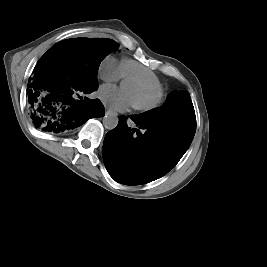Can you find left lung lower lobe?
<instances>
[{"mask_svg": "<svg viewBox=\"0 0 267 267\" xmlns=\"http://www.w3.org/2000/svg\"><path fill=\"white\" fill-rule=\"evenodd\" d=\"M130 118L138 129L131 130L120 116L118 125L105 136L103 160L115 181L138 185L169 172L190 146L194 133L173 125L147 123L136 115Z\"/></svg>", "mask_w": 267, "mask_h": 267, "instance_id": "left-lung-lower-lobe-1", "label": "left lung lower lobe"}]
</instances>
